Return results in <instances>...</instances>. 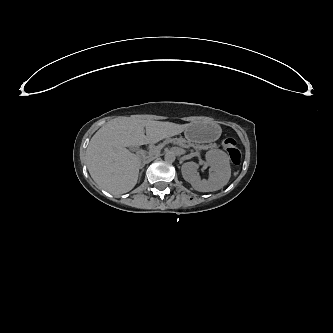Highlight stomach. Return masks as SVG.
Segmentation results:
<instances>
[{
  "label": "stomach",
  "mask_w": 333,
  "mask_h": 333,
  "mask_svg": "<svg viewBox=\"0 0 333 333\" xmlns=\"http://www.w3.org/2000/svg\"><path fill=\"white\" fill-rule=\"evenodd\" d=\"M186 138L189 140V141H191V142H196V140H194L192 137H190V136H186Z\"/></svg>",
  "instance_id": "obj_1"
}]
</instances>
